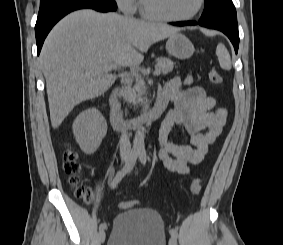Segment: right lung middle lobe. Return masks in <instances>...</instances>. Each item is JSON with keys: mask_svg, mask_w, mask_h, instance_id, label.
Returning <instances> with one entry per match:
<instances>
[{"mask_svg": "<svg viewBox=\"0 0 283 245\" xmlns=\"http://www.w3.org/2000/svg\"><path fill=\"white\" fill-rule=\"evenodd\" d=\"M57 1H61V0H40V7L48 5L50 3L57 2Z\"/></svg>", "mask_w": 283, "mask_h": 245, "instance_id": "1", "label": "right lung middle lobe"}]
</instances>
